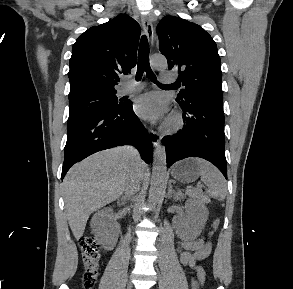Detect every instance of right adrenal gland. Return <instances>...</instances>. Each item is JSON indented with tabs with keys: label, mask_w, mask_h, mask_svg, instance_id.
Instances as JSON below:
<instances>
[{
	"label": "right adrenal gland",
	"mask_w": 293,
	"mask_h": 289,
	"mask_svg": "<svg viewBox=\"0 0 293 289\" xmlns=\"http://www.w3.org/2000/svg\"><path fill=\"white\" fill-rule=\"evenodd\" d=\"M127 198L125 196H122L121 201L125 202Z\"/></svg>",
	"instance_id": "2a0ac1e0"
}]
</instances>
